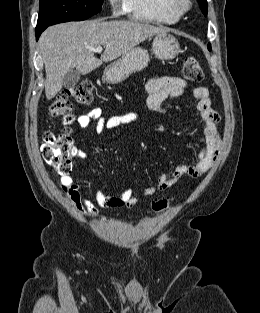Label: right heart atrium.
Masks as SVG:
<instances>
[{
  "mask_svg": "<svg viewBox=\"0 0 260 313\" xmlns=\"http://www.w3.org/2000/svg\"><path fill=\"white\" fill-rule=\"evenodd\" d=\"M123 0H108L109 6L113 12V14L118 15L122 11H124L123 8Z\"/></svg>",
  "mask_w": 260,
  "mask_h": 313,
  "instance_id": "1",
  "label": "right heart atrium"
}]
</instances>
